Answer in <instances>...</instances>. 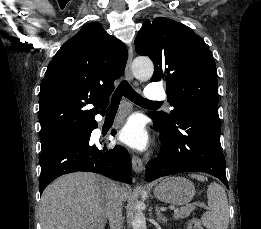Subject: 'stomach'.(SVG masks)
Instances as JSON below:
<instances>
[{
    "label": "stomach",
    "mask_w": 261,
    "mask_h": 229,
    "mask_svg": "<svg viewBox=\"0 0 261 229\" xmlns=\"http://www.w3.org/2000/svg\"><path fill=\"white\" fill-rule=\"evenodd\" d=\"M154 195L158 201H163V203L186 205L192 201L195 187L184 177H167V179H160L159 185L154 189Z\"/></svg>",
    "instance_id": "stomach-1"
}]
</instances>
